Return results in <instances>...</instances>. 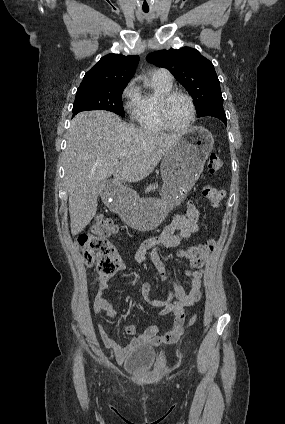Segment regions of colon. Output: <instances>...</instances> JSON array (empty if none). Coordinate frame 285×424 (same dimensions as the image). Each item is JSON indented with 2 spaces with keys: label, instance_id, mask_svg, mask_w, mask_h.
<instances>
[{
  "label": "colon",
  "instance_id": "colon-1",
  "mask_svg": "<svg viewBox=\"0 0 285 424\" xmlns=\"http://www.w3.org/2000/svg\"><path fill=\"white\" fill-rule=\"evenodd\" d=\"M222 159L215 153L209 155L207 159V170L210 174L218 172L222 168ZM204 197L214 206L221 204L225 197L222 189L206 186L203 189ZM117 232L114 222L104 216H97L88 232L78 236V247L84 257L87 267L96 266L99 275L105 279L113 276L121 268V261L117 256L115 247L108 241V237ZM215 241L213 239L193 245L181 252V256L186 258L194 266L204 264L207 257L214 250ZM195 317L189 320V325L193 324ZM180 319L177 326L180 327Z\"/></svg>",
  "mask_w": 285,
  "mask_h": 424
}]
</instances>
